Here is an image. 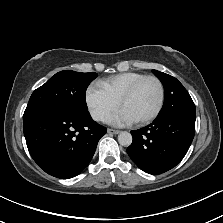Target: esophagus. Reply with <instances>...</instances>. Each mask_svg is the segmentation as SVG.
<instances>
[{
	"instance_id": "1",
	"label": "esophagus",
	"mask_w": 223,
	"mask_h": 223,
	"mask_svg": "<svg viewBox=\"0 0 223 223\" xmlns=\"http://www.w3.org/2000/svg\"><path fill=\"white\" fill-rule=\"evenodd\" d=\"M107 133H109V134H118V133H120V131L119 130H116V129H110V128H108L107 129Z\"/></svg>"
}]
</instances>
